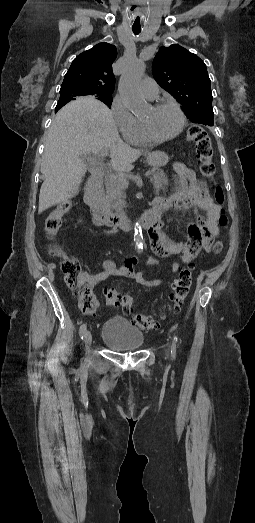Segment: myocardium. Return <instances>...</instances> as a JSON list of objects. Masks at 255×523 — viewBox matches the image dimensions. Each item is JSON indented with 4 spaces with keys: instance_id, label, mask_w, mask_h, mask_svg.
I'll list each match as a JSON object with an SVG mask.
<instances>
[{
    "instance_id": "myocardium-1",
    "label": "myocardium",
    "mask_w": 255,
    "mask_h": 523,
    "mask_svg": "<svg viewBox=\"0 0 255 523\" xmlns=\"http://www.w3.org/2000/svg\"><path fill=\"white\" fill-rule=\"evenodd\" d=\"M164 106H171V107H173L177 111V113L179 115V118H180L179 127L173 134H171L169 136L157 137V136L152 134V132L149 129V126H148L147 122L141 119L140 123H141L142 134H143L144 138L148 142L162 143V142L173 140L183 131V129L185 127L186 117H185L184 112L182 111V109L180 108V106L177 103H175L173 101H167V100L166 101H159V102L155 103L154 105H152V109L157 110V109L162 108Z\"/></svg>"
}]
</instances>
